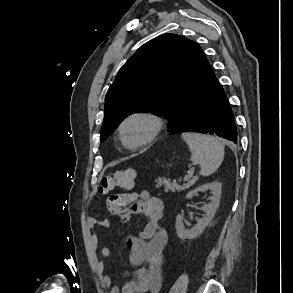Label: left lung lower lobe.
<instances>
[{
	"label": "left lung lower lobe",
	"mask_w": 293,
	"mask_h": 293,
	"mask_svg": "<svg viewBox=\"0 0 293 293\" xmlns=\"http://www.w3.org/2000/svg\"><path fill=\"white\" fill-rule=\"evenodd\" d=\"M215 134L237 143V129L226 94L214 73L207 85L186 104L172 133Z\"/></svg>",
	"instance_id": "left-lung-lower-lobe-1"
}]
</instances>
